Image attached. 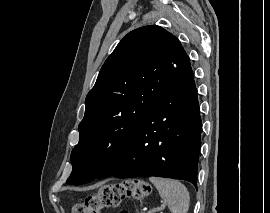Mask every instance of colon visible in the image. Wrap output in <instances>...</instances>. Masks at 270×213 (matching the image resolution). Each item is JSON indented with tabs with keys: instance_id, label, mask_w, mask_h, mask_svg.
Listing matches in <instances>:
<instances>
[{
	"instance_id": "obj_1",
	"label": "colon",
	"mask_w": 270,
	"mask_h": 213,
	"mask_svg": "<svg viewBox=\"0 0 270 213\" xmlns=\"http://www.w3.org/2000/svg\"><path fill=\"white\" fill-rule=\"evenodd\" d=\"M151 188L141 179H127L119 183L108 184L72 208V213H100L104 208L117 207L123 199L131 197L141 199L148 196ZM119 213H129L121 210Z\"/></svg>"
}]
</instances>
